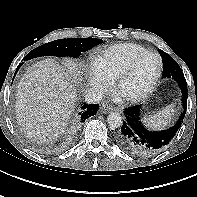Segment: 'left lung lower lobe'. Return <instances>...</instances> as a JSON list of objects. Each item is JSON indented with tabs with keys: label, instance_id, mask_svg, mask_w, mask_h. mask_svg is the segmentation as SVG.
Here are the masks:
<instances>
[{
	"label": "left lung lower lobe",
	"instance_id": "left-lung-lower-lobe-1",
	"mask_svg": "<svg viewBox=\"0 0 197 197\" xmlns=\"http://www.w3.org/2000/svg\"><path fill=\"white\" fill-rule=\"evenodd\" d=\"M183 111L176 124L168 129L154 131L148 129L141 120L139 105L125 109L122 126L116 135V142L126 152L147 158L164 150L181 127L187 109V83L180 82Z\"/></svg>",
	"mask_w": 197,
	"mask_h": 197
}]
</instances>
